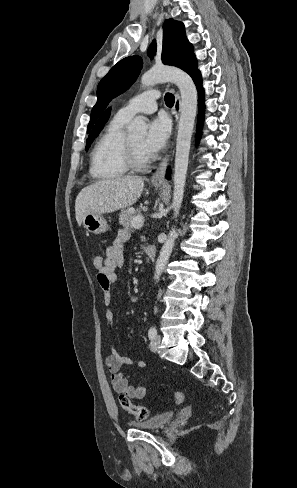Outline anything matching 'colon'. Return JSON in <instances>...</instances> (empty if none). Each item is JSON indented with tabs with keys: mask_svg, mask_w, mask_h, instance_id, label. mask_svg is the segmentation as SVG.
Segmentation results:
<instances>
[{
	"mask_svg": "<svg viewBox=\"0 0 297 488\" xmlns=\"http://www.w3.org/2000/svg\"><path fill=\"white\" fill-rule=\"evenodd\" d=\"M93 265L99 270L103 267V257L100 255H95L93 257ZM184 399L182 392H176L174 395V401L176 404H181ZM119 402L124 411L132 414L137 420H146L149 418V410L141 405H135L127 396L120 395Z\"/></svg>",
	"mask_w": 297,
	"mask_h": 488,
	"instance_id": "colon-1",
	"label": "colon"
}]
</instances>
